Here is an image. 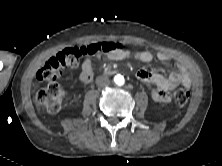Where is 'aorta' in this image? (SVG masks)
<instances>
[{"mask_svg":"<svg viewBox=\"0 0 222 166\" xmlns=\"http://www.w3.org/2000/svg\"><path fill=\"white\" fill-rule=\"evenodd\" d=\"M114 82H115L118 86H121V85L124 84L125 79H124V77H123L122 75H116V76L114 77Z\"/></svg>","mask_w":222,"mask_h":166,"instance_id":"aorta-1","label":"aorta"}]
</instances>
